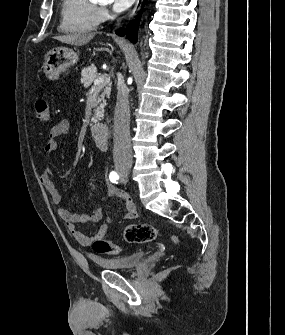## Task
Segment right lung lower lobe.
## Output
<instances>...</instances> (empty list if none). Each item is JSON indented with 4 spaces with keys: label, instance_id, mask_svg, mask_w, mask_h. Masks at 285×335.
Masks as SVG:
<instances>
[{
    "label": "right lung lower lobe",
    "instance_id": "right-lung-lower-lobe-1",
    "mask_svg": "<svg viewBox=\"0 0 285 335\" xmlns=\"http://www.w3.org/2000/svg\"><path fill=\"white\" fill-rule=\"evenodd\" d=\"M141 12H142V10H141ZM141 12H140L137 20L133 24H131L127 28L126 31H124L123 29H119V30H116V34L119 35V36H124V34L126 33L127 38L131 42L136 43L137 42V34H138V25H139V20H140Z\"/></svg>",
    "mask_w": 285,
    "mask_h": 335
}]
</instances>
